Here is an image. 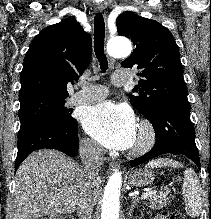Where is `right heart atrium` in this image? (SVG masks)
<instances>
[{"instance_id":"obj_1","label":"right heart atrium","mask_w":211,"mask_h":219,"mask_svg":"<svg viewBox=\"0 0 211 219\" xmlns=\"http://www.w3.org/2000/svg\"><path fill=\"white\" fill-rule=\"evenodd\" d=\"M81 148L84 152L92 155H97L100 153L99 145L88 137H84L81 140Z\"/></svg>"}]
</instances>
